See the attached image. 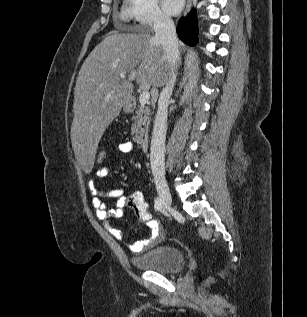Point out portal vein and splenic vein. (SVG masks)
Returning <instances> with one entry per match:
<instances>
[{"instance_id": "18ae733b", "label": "portal vein and splenic vein", "mask_w": 307, "mask_h": 317, "mask_svg": "<svg viewBox=\"0 0 307 317\" xmlns=\"http://www.w3.org/2000/svg\"><path fill=\"white\" fill-rule=\"evenodd\" d=\"M120 77H121L122 79H124V78H125V73H121V74H120ZM149 99H150V93H149V91L146 90V89L143 90L142 93H141L140 96H139V102H140V104H141V105H145L146 103H148Z\"/></svg>"}]
</instances>
